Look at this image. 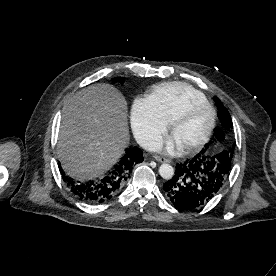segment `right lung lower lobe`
I'll return each mask as SVG.
<instances>
[{
    "mask_svg": "<svg viewBox=\"0 0 276 276\" xmlns=\"http://www.w3.org/2000/svg\"><path fill=\"white\" fill-rule=\"evenodd\" d=\"M142 161V151L137 147L129 148L112 170L101 179L81 183L64 174L63 179L80 200L90 204L103 203L110 200L125 186L133 167ZM59 168L61 173H63L60 165Z\"/></svg>",
    "mask_w": 276,
    "mask_h": 276,
    "instance_id": "1",
    "label": "right lung lower lobe"
}]
</instances>
